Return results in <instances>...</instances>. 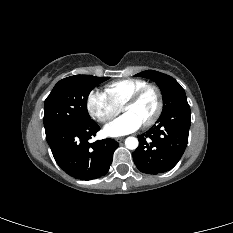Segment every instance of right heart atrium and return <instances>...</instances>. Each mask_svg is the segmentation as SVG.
I'll return each instance as SVG.
<instances>
[{
	"label": "right heart atrium",
	"mask_w": 233,
	"mask_h": 233,
	"mask_svg": "<svg viewBox=\"0 0 233 233\" xmlns=\"http://www.w3.org/2000/svg\"><path fill=\"white\" fill-rule=\"evenodd\" d=\"M86 107L90 116L100 123L110 121L120 112V107L113 104L104 93L98 91L89 93Z\"/></svg>",
	"instance_id": "1"
}]
</instances>
